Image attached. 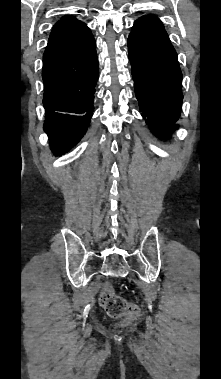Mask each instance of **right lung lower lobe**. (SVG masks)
Wrapping results in <instances>:
<instances>
[{
    "label": "right lung lower lobe",
    "instance_id": "obj_1",
    "mask_svg": "<svg viewBox=\"0 0 221 379\" xmlns=\"http://www.w3.org/2000/svg\"><path fill=\"white\" fill-rule=\"evenodd\" d=\"M96 43L86 24L50 40L43 55L44 130L54 152L64 153L85 134L98 79Z\"/></svg>",
    "mask_w": 221,
    "mask_h": 379
}]
</instances>
